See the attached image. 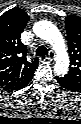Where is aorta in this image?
<instances>
[{"label": "aorta", "mask_w": 81, "mask_h": 124, "mask_svg": "<svg viewBox=\"0 0 81 124\" xmlns=\"http://www.w3.org/2000/svg\"><path fill=\"white\" fill-rule=\"evenodd\" d=\"M33 31L53 47L56 52L54 71L57 75H64L68 71L69 56L64 38L58 28L49 21H39L34 24Z\"/></svg>", "instance_id": "aorta-1"}]
</instances>
